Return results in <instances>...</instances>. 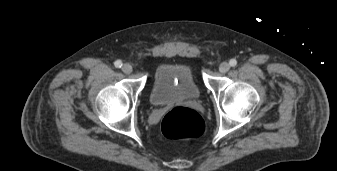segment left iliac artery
I'll return each mask as SVG.
<instances>
[{"label": "left iliac artery", "mask_w": 337, "mask_h": 171, "mask_svg": "<svg viewBox=\"0 0 337 171\" xmlns=\"http://www.w3.org/2000/svg\"><path fill=\"white\" fill-rule=\"evenodd\" d=\"M229 64H230V66L234 67V66L237 65V60H236V59H231V60L229 61Z\"/></svg>", "instance_id": "obj_1"}]
</instances>
